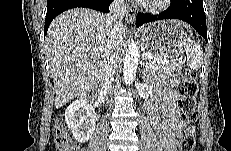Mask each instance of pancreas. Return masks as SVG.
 I'll use <instances>...</instances> for the list:
<instances>
[{
  "label": "pancreas",
  "mask_w": 231,
  "mask_h": 151,
  "mask_svg": "<svg viewBox=\"0 0 231 151\" xmlns=\"http://www.w3.org/2000/svg\"><path fill=\"white\" fill-rule=\"evenodd\" d=\"M183 63L180 61H172L169 63H159L154 59H146V69L149 72H161L165 74L181 73Z\"/></svg>",
  "instance_id": "pancreas-1"
}]
</instances>
